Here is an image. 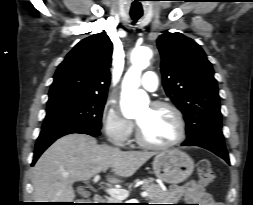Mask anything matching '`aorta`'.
<instances>
[{"instance_id": "obj_1", "label": "aorta", "mask_w": 253, "mask_h": 205, "mask_svg": "<svg viewBox=\"0 0 253 205\" xmlns=\"http://www.w3.org/2000/svg\"><path fill=\"white\" fill-rule=\"evenodd\" d=\"M152 54V50L145 46L137 47L131 53L132 67L124 76L121 94V111L126 118L133 117L149 103L146 92L138 87L141 72L149 66Z\"/></svg>"}]
</instances>
